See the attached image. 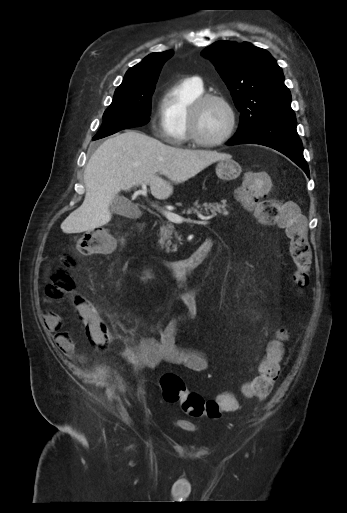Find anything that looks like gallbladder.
Wrapping results in <instances>:
<instances>
[{
  "label": "gallbladder",
  "mask_w": 347,
  "mask_h": 513,
  "mask_svg": "<svg viewBox=\"0 0 347 513\" xmlns=\"http://www.w3.org/2000/svg\"><path fill=\"white\" fill-rule=\"evenodd\" d=\"M110 210L117 215L128 218H135L139 215L137 205L122 196H117L113 199Z\"/></svg>",
  "instance_id": "gallbladder-1"
}]
</instances>
